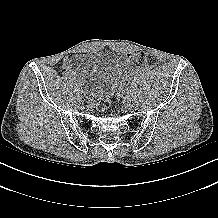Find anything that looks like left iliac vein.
<instances>
[{
  "label": "left iliac vein",
  "instance_id": "left-iliac-vein-1",
  "mask_svg": "<svg viewBox=\"0 0 218 218\" xmlns=\"http://www.w3.org/2000/svg\"><path fill=\"white\" fill-rule=\"evenodd\" d=\"M127 107H131V104L129 102H127Z\"/></svg>",
  "mask_w": 218,
  "mask_h": 218
}]
</instances>
